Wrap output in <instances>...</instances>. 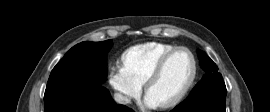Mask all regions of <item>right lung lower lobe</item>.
Masks as SVG:
<instances>
[{
    "instance_id": "right-lung-lower-lobe-1",
    "label": "right lung lower lobe",
    "mask_w": 270,
    "mask_h": 112,
    "mask_svg": "<svg viewBox=\"0 0 270 112\" xmlns=\"http://www.w3.org/2000/svg\"><path fill=\"white\" fill-rule=\"evenodd\" d=\"M44 108L45 112H134L124 105L116 104L103 86L89 88L69 83L47 89Z\"/></svg>"
}]
</instances>
